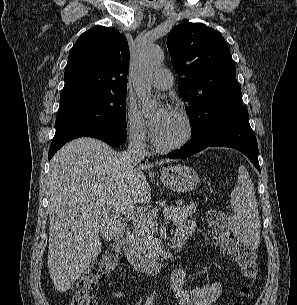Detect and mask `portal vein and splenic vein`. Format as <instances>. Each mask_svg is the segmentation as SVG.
Segmentation results:
<instances>
[{"mask_svg":"<svg viewBox=\"0 0 297 305\" xmlns=\"http://www.w3.org/2000/svg\"><path fill=\"white\" fill-rule=\"evenodd\" d=\"M168 211L169 209L166 208L164 210V215L167 216L168 215ZM147 215V213H143V212H132L130 214H127V218L130 219V220H135V219H138V218H141L143 216Z\"/></svg>","mask_w":297,"mask_h":305,"instance_id":"portal-vein-and-splenic-vein-1","label":"portal vein and splenic vein"}]
</instances>
